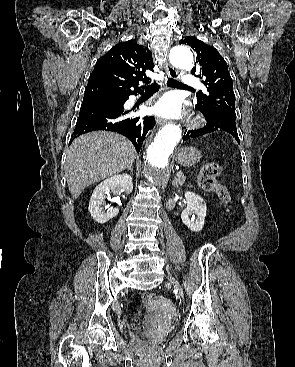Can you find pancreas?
Instances as JSON below:
<instances>
[{
  "instance_id": "pancreas-1",
  "label": "pancreas",
  "mask_w": 295,
  "mask_h": 367,
  "mask_svg": "<svg viewBox=\"0 0 295 367\" xmlns=\"http://www.w3.org/2000/svg\"><path fill=\"white\" fill-rule=\"evenodd\" d=\"M186 177L184 175H181L177 178V182L179 185H183L185 183Z\"/></svg>"
}]
</instances>
